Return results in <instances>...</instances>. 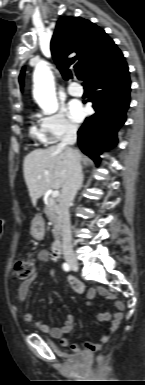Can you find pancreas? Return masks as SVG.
Listing matches in <instances>:
<instances>
[{
  "mask_svg": "<svg viewBox=\"0 0 145 385\" xmlns=\"http://www.w3.org/2000/svg\"><path fill=\"white\" fill-rule=\"evenodd\" d=\"M44 212L48 219L53 223L55 234H60L62 218L57 201L54 198L51 197L47 200Z\"/></svg>",
  "mask_w": 145,
  "mask_h": 385,
  "instance_id": "1",
  "label": "pancreas"
}]
</instances>
